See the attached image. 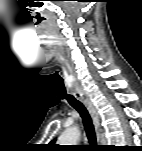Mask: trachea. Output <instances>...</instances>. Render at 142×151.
I'll list each match as a JSON object with an SVG mask.
<instances>
[{
    "label": "trachea",
    "mask_w": 142,
    "mask_h": 151,
    "mask_svg": "<svg viewBox=\"0 0 142 151\" xmlns=\"http://www.w3.org/2000/svg\"><path fill=\"white\" fill-rule=\"evenodd\" d=\"M63 97L66 98L69 104L79 112L83 120V124L88 140L90 141V143L96 144V133H95L94 125L86 107L83 105L82 102H80L73 95L65 94Z\"/></svg>",
    "instance_id": "obj_1"
}]
</instances>
